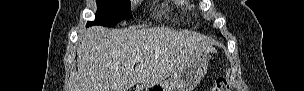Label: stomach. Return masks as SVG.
Listing matches in <instances>:
<instances>
[{
  "label": "stomach",
  "mask_w": 304,
  "mask_h": 91,
  "mask_svg": "<svg viewBox=\"0 0 304 91\" xmlns=\"http://www.w3.org/2000/svg\"><path fill=\"white\" fill-rule=\"evenodd\" d=\"M208 54L205 52H198L193 54L186 62V64L171 78L161 84L155 86H141L137 91H193V89L200 83L203 76L208 70Z\"/></svg>",
  "instance_id": "1"
}]
</instances>
